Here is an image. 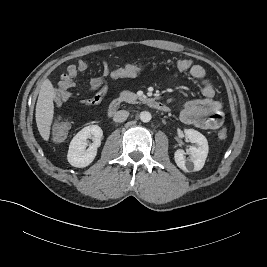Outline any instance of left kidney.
I'll use <instances>...</instances> for the list:
<instances>
[{
	"instance_id": "5707ae66",
	"label": "left kidney",
	"mask_w": 267,
	"mask_h": 267,
	"mask_svg": "<svg viewBox=\"0 0 267 267\" xmlns=\"http://www.w3.org/2000/svg\"><path fill=\"white\" fill-rule=\"evenodd\" d=\"M184 133L189 141L196 144V146H190L187 151L191 156L190 159L185 158L183 150H177L174 154L175 162L184 172L199 171L203 168L208 155V141L203 134L194 129H185Z\"/></svg>"
}]
</instances>
